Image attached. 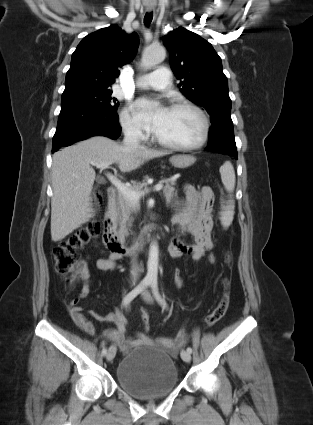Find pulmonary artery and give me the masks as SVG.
<instances>
[{"instance_id":"obj_1","label":"pulmonary artery","mask_w":313,"mask_h":425,"mask_svg":"<svg viewBox=\"0 0 313 425\" xmlns=\"http://www.w3.org/2000/svg\"><path fill=\"white\" fill-rule=\"evenodd\" d=\"M137 85L155 90L166 89L171 85V73L166 67H160L154 72L140 77Z\"/></svg>"}]
</instances>
